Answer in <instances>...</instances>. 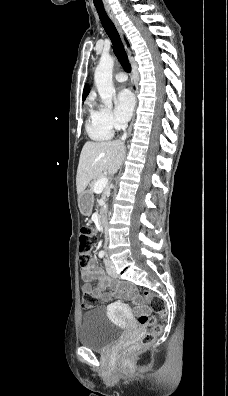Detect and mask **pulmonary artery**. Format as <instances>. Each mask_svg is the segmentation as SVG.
Returning a JSON list of instances; mask_svg holds the SVG:
<instances>
[{
  "mask_svg": "<svg viewBox=\"0 0 228 396\" xmlns=\"http://www.w3.org/2000/svg\"><path fill=\"white\" fill-rule=\"evenodd\" d=\"M115 80L117 82L123 83L127 80V76H126V74L120 72L115 75Z\"/></svg>",
  "mask_w": 228,
  "mask_h": 396,
  "instance_id": "obj_1",
  "label": "pulmonary artery"
}]
</instances>
